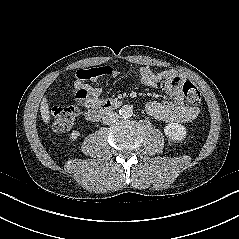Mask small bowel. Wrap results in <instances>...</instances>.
Returning a JSON list of instances; mask_svg holds the SVG:
<instances>
[{
	"instance_id": "small-bowel-1",
	"label": "small bowel",
	"mask_w": 239,
	"mask_h": 239,
	"mask_svg": "<svg viewBox=\"0 0 239 239\" xmlns=\"http://www.w3.org/2000/svg\"><path fill=\"white\" fill-rule=\"evenodd\" d=\"M97 69H102L103 73L91 76L90 73ZM103 75L115 79L119 72L110 67L87 68L77 71L74 81V95L80 106L90 109L97 107L102 102L103 90L87 82H96ZM139 78L144 85L151 88H156L160 82H164L166 89L173 97L170 102L148 103L146 110L150 116L164 122L180 123H189L197 117L198 108L187 106L184 103L181 92V86L184 82L182 76L170 72L157 73L149 66H142L139 69Z\"/></svg>"
}]
</instances>
